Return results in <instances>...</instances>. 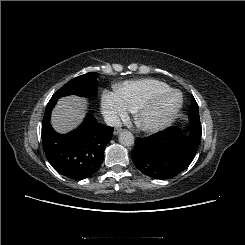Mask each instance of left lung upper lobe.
Masks as SVG:
<instances>
[{
	"mask_svg": "<svg viewBox=\"0 0 245 245\" xmlns=\"http://www.w3.org/2000/svg\"><path fill=\"white\" fill-rule=\"evenodd\" d=\"M189 119H190V127L192 129L201 130L199 107L194 97H192Z\"/></svg>",
	"mask_w": 245,
	"mask_h": 245,
	"instance_id": "obj_1",
	"label": "left lung upper lobe"
}]
</instances>
